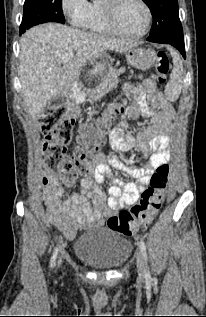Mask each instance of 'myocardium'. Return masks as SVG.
<instances>
[{"label": "myocardium", "instance_id": "f54148a6", "mask_svg": "<svg viewBox=\"0 0 206 317\" xmlns=\"http://www.w3.org/2000/svg\"><path fill=\"white\" fill-rule=\"evenodd\" d=\"M122 0H104L103 10L106 18L107 25L112 33L127 39H139L148 34L152 23V11L145 0H137L145 10L146 23L144 29L137 34H127L123 32L116 21L117 6Z\"/></svg>", "mask_w": 206, "mask_h": 317}]
</instances>
